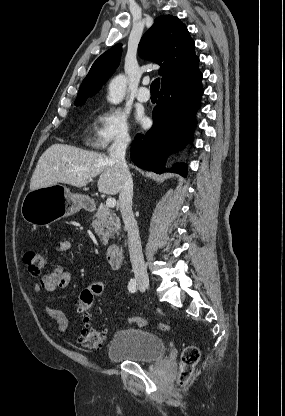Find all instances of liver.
Masks as SVG:
<instances>
[{
  "mask_svg": "<svg viewBox=\"0 0 285 416\" xmlns=\"http://www.w3.org/2000/svg\"><path fill=\"white\" fill-rule=\"evenodd\" d=\"M99 174L98 192L110 196L120 192L123 172L119 166L110 162L108 156L65 144H53L39 158L31 178L30 190L48 188L55 184L84 188Z\"/></svg>",
  "mask_w": 285,
  "mask_h": 416,
  "instance_id": "6515ba94",
  "label": "liver"
}]
</instances>
